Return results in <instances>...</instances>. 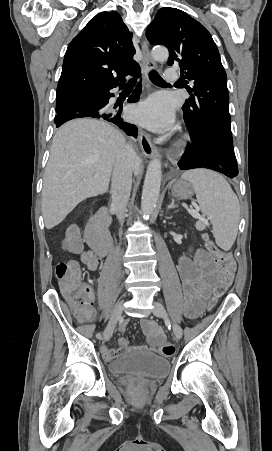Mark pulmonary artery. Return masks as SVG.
Here are the masks:
<instances>
[{
    "instance_id": "pulmonary-artery-1",
    "label": "pulmonary artery",
    "mask_w": 272,
    "mask_h": 451,
    "mask_svg": "<svg viewBox=\"0 0 272 451\" xmlns=\"http://www.w3.org/2000/svg\"><path fill=\"white\" fill-rule=\"evenodd\" d=\"M177 68H176V66H174V65H171V66H169L168 68H167V70H165L164 72H163V77L165 78V79H168V80H170V82L172 83V84H177L178 83V76H177Z\"/></svg>"
}]
</instances>
